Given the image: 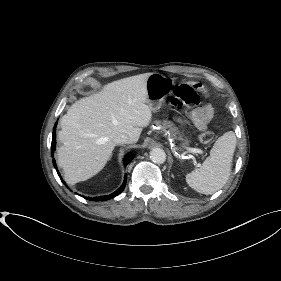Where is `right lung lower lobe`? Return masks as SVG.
<instances>
[{"mask_svg":"<svg viewBox=\"0 0 281 281\" xmlns=\"http://www.w3.org/2000/svg\"><path fill=\"white\" fill-rule=\"evenodd\" d=\"M56 125H57V122L55 123V126L53 128V137H52V144H51L52 157H53L54 150L56 147ZM133 157H134L133 154L127 155L124 159V163L127 165L133 159ZM53 164H54V167L57 168L55 160H53ZM57 173L60 176L58 171H57ZM63 183L65 184V182H63ZM125 186H126V176H125V180H124L123 184L121 185V187L119 189H117L114 193H112L110 195L94 197V198L88 197L86 199L92 200V201H106V200L112 199L115 196L119 195L124 190Z\"/></svg>","mask_w":281,"mask_h":281,"instance_id":"98d812e1","label":"right lung lower lobe"}]
</instances>
